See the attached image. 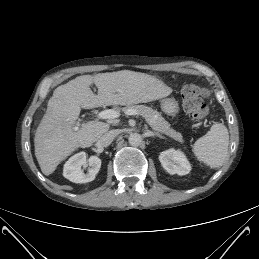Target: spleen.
I'll return each mask as SVG.
<instances>
[{"label": "spleen", "instance_id": "1", "mask_svg": "<svg viewBox=\"0 0 259 259\" xmlns=\"http://www.w3.org/2000/svg\"><path fill=\"white\" fill-rule=\"evenodd\" d=\"M229 145V133L222 123H215L203 137L193 145L192 151L199 161L210 168H217L223 163Z\"/></svg>", "mask_w": 259, "mask_h": 259}]
</instances>
